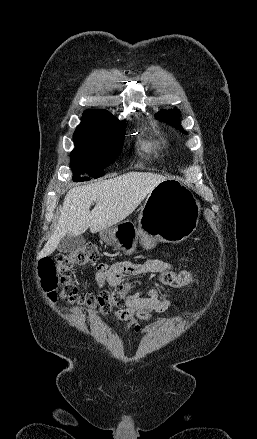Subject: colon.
<instances>
[{
  "label": "colon",
  "mask_w": 257,
  "mask_h": 439,
  "mask_svg": "<svg viewBox=\"0 0 257 439\" xmlns=\"http://www.w3.org/2000/svg\"><path fill=\"white\" fill-rule=\"evenodd\" d=\"M97 258L96 246L89 244L75 252L58 254L54 258L40 261L38 272L41 285L49 299L56 301L60 298L71 305L100 309L104 312L113 306H125L131 291V284L128 281L98 293L78 291L72 278L73 269L93 263ZM195 279V274L190 271L158 273V280L161 284L175 288L193 283Z\"/></svg>",
  "instance_id": "colon-1"
}]
</instances>
